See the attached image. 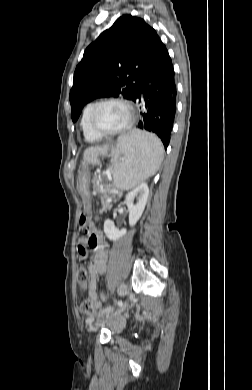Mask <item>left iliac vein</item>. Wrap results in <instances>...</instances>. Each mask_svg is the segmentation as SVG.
<instances>
[{"label": "left iliac vein", "mask_w": 252, "mask_h": 390, "mask_svg": "<svg viewBox=\"0 0 252 390\" xmlns=\"http://www.w3.org/2000/svg\"><path fill=\"white\" fill-rule=\"evenodd\" d=\"M126 289H127L126 284H122L118 288V293L120 295H122L126 292ZM126 306H127V303L125 302L124 305H122L118 310L112 312L111 314H109V311H107L106 315L104 317L96 319V321L94 322V328H98V327L102 326L108 320H112V321L121 320V315L124 312V310L126 309Z\"/></svg>", "instance_id": "4c4485c4"}]
</instances>
